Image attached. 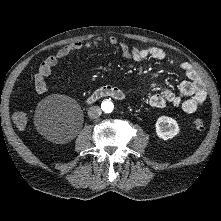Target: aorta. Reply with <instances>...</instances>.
Returning a JSON list of instances; mask_svg holds the SVG:
<instances>
[{
    "instance_id": "1",
    "label": "aorta",
    "mask_w": 221,
    "mask_h": 221,
    "mask_svg": "<svg viewBox=\"0 0 221 221\" xmlns=\"http://www.w3.org/2000/svg\"><path fill=\"white\" fill-rule=\"evenodd\" d=\"M113 110V104L111 102H107L105 106L106 112H111Z\"/></svg>"
}]
</instances>
